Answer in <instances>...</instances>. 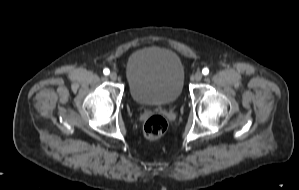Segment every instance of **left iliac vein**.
Here are the masks:
<instances>
[{
    "mask_svg": "<svg viewBox=\"0 0 299 190\" xmlns=\"http://www.w3.org/2000/svg\"><path fill=\"white\" fill-rule=\"evenodd\" d=\"M202 77H203V75H202V73H201L200 71H197V72L195 73V75H194V79H195L196 81H200V80L202 79Z\"/></svg>",
    "mask_w": 299,
    "mask_h": 190,
    "instance_id": "4c4485c4",
    "label": "left iliac vein"
}]
</instances>
